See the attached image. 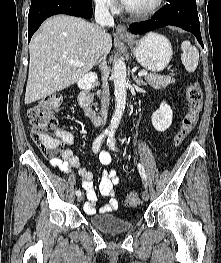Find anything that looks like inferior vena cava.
Instances as JSON below:
<instances>
[{"instance_id":"602c4592","label":"inferior vena cava","mask_w":221,"mask_h":263,"mask_svg":"<svg viewBox=\"0 0 221 263\" xmlns=\"http://www.w3.org/2000/svg\"><path fill=\"white\" fill-rule=\"evenodd\" d=\"M95 21L96 23L104 28V27H113L114 19L110 14L106 0H95ZM100 63V68L105 72L107 68L105 57H101L98 61ZM102 93H101V109L99 112V116L102 121V126L105 125L108 113L109 106V89L107 87L106 78L102 77Z\"/></svg>"}]
</instances>
